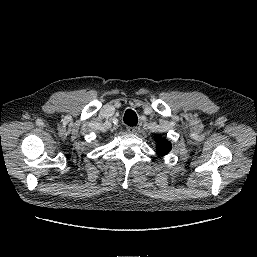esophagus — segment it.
Listing matches in <instances>:
<instances>
[{
  "mask_svg": "<svg viewBox=\"0 0 257 257\" xmlns=\"http://www.w3.org/2000/svg\"><path fill=\"white\" fill-rule=\"evenodd\" d=\"M129 133H135L137 131V127L129 126L126 128Z\"/></svg>",
  "mask_w": 257,
  "mask_h": 257,
  "instance_id": "34e87169",
  "label": "esophagus"
}]
</instances>
